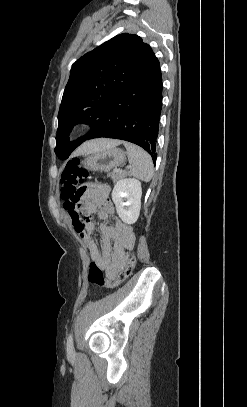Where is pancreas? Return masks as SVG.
Segmentation results:
<instances>
[{
	"label": "pancreas",
	"mask_w": 247,
	"mask_h": 407,
	"mask_svg": "<svg viewBox=\"0 0 247 407\" xmlns=\"http://www.w3.org/2000/svg\"><path fill=\"white\" fill-rule=\"evenodd\" d=\"M127 173L125 171H113L108 174V176L114 181L117 182L121 178L125 177Z\"/></svg>",
	"instance_id": "1"
}]
</instances>
